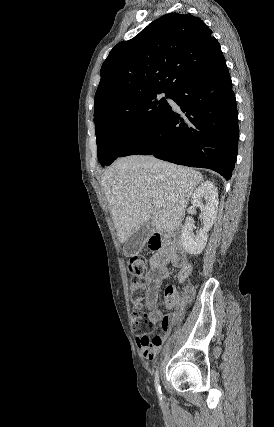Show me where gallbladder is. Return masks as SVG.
Returning <instances> with one entry per match:
<instances>
[{"mask_svg":"<svg viewBox=\"0 0 274 427\" xmlns=\"http://www.w3.org/2000/svg\"><path fill=\"white\" fill-rule=\"evenodd\" d=\"M152 233L153 225L151 219H149V221H146L144 225H141L139 229H136V231H133L132 235H130L123 247L124 255H126V257L137 255Z\"/></svg>","mask_w":274,"mask_h":427,"instance_id":"obj_1","label":"gallbladder"}]
</instances>
